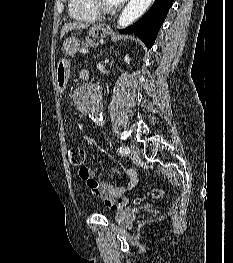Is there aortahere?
Here are the masks:
<instances>
[{
  "label": "aorta",
  "instance_id": "aorta-1",
  "mask_svg": "<svg viewBox=\"0 0 233 263\" xmlns=\"http://www.w3.org/2000/svg\"><path fill=\"white\" fill-rule=\"evenodd\" d=\"M154 0H130L119 16L117 25L125 28L141 17ZM102 93L96 83L84 84L77 97L79 110L92 119L101 115Z\"/></svg>",
  "mask_w": 233,
  "mask_h": 263
}]
</instances>
